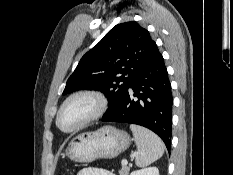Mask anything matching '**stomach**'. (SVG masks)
<instances>
[{"instance_id": "obj_1", "label": "stomach", "mask_w": 233, "mask_h": 175, "mask_svg": "<svg viewBox=\"0 0 233 175\" xmlns=\"http://www.w3.org/2000/svg\"><path fill=\"white\" fill-rule=\"evenodd\" d=\"M129 135L112 126L82 133L73 138L66 148V155L75 162L88 163L97 159H112L130 145Z\"/></svg>"}]
</instances>
